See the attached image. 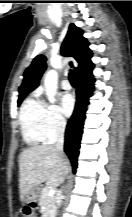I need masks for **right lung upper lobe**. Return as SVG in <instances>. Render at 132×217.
Listing matches in <instances>:
<instances>
[{
  "label": "right lung upper lobe",
  "mask_w": 132,
  "mask_h": 217,
  "mask_svg": "<svg viewBox=\"0 0 132 217\" xmlns=\"http://www.w3.org/2000/svg\"><path fill=\"white\" fill-rule=\"evenodd\" d=\"M82 34L81 29L71 24L61 48L62 55L73 57L78 62V67L75 68L78 80L92 78V70L94 68V64L91 61L92 52L88 48L89 43ZM45 69V56H36L24 73L23 83L19 88V99H24L28 93L39 85V80Z\"/></svg>",
  "instance_id": "obj_1"
}]
</instances>
